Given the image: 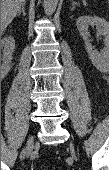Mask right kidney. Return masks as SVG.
Listing matches in <instances>:
<instances>
[{"mask_svg":"<svg viewBox=\"0 0 109 170\" xmlns=\"http://www.w3.org/2000/svg\"><path fill=\"white\" fill-rule=\"evenodd\" d=\"M2 47V63L1 75L4 77L10 71V64L12 60L13 51L15 48V40L12 37H4L1 39Z\"/></svg>","mask_w":109,"mask_h":170,"instance_id":"obj_1","label":"right kidney"}]
</instances>
